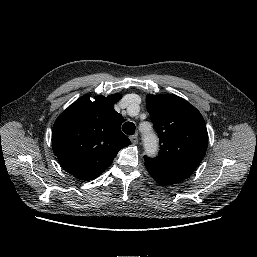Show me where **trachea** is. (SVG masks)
<instances>
[{
  "label": "trachea",
  "instance_id": "obj_1",
  "mask_svg": "<svg viewBox=\"0 0 257 257\" xmlns=\"http://www.w3.org/2000/svg\"><path fill=\"white\" fill-rule=\"evenodd\" d=\"M122 130L127 135H133L135 133V124L132 122H126L123 124Z\"/></svg>",
  "mask_w": 257,
  "mask_h": 257
}]
</instances>
